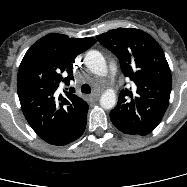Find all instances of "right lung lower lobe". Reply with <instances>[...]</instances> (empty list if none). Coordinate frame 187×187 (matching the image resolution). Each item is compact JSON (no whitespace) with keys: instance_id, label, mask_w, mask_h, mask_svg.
Here are the masks:
<instances>
[{"instance_id":"98d812e1","label":"right lung lower lobe","mask_w":187,"mask_h":187,"mask_svg":"<svg viewBox=\"0 0 187 187\" xmlns=\"http://www.w3.org/2000/svg\"><path fill=\"white\" fill-rule=\"evenodd\" d=\"M85 127H86V119H85L84 122L82 123L81 127L77 130V132H76L74 135H72V136H71L65 143H63L62 145H66V144H68V143H70V142L76 140L77 138H79V137L83 134V132H84V130H85Z\"/></svg>"}]
</instances>
